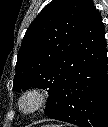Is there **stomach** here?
Wrapping results in <instances>:
<instances>
[{
	"label": "stomach",
	"mask_w": 108,
	"mask_h": 127,
	"mask_svg": "<svg viewBox=\"0 0 108 127\" xmlns=\"http://www.w3.org/2000/svg\"><path fill=\"white\" fill-rule=\"evenodd\" d=\"M45 127H56V126H49V125H47V126H45Z\"/></svg>",
	"instance_id": "stomach-1"
}]
</instances>
